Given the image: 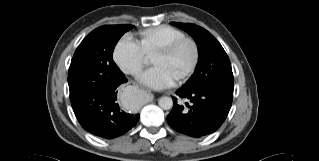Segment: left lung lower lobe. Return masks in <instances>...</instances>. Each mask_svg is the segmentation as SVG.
I'll return each mask as SVG.
<instances>
[{
	"instance_id": "1",
	"label": "left lung lower lobe",
	"mask_w": 319,
	"mask_h": 161,
	"mask_svg": "<svg viewBox=\"0 0 319 161\" xmlns=\"http://www.w3.org/2000/svg\"><path fill=\"white\" fill-rule=\"evenodd\" d=\"M176 95L188 103L179 105L174 97L167 122L175 131L195 138L215 132L225 121L232 105L229 98L197 88L181 87Z\"/></svg>"
}]
</instances>
